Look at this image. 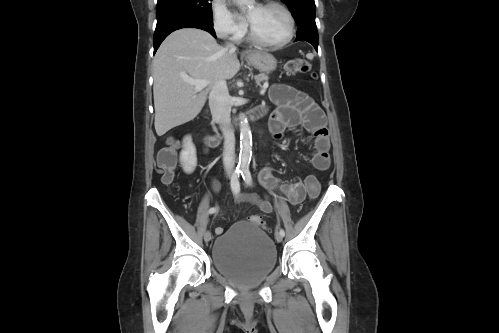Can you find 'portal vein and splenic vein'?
<instances>
[{
    "label": "portal vein and splenic vein",
    "instance_id": "portal-vein-and-splenic-vein-1",
    "mask_svg": "<svg viewBox=\"0 0 499 333\" xmlns=\"http://www.w3.org/2000/svg\"><path fill=\"white\" fill-rule=\"evenodd\" d=\"M184 81L186 83H189L191 85L195 86L196 91H201L202 89L206 88L209 84L207 80L204 79H192V78H185ZM268 87V83H265L262 87L261 94H264L266 92V89Z\"/></svg>",
    "mask_w": 499,
    "mask_h": 333
}]
</instances>
